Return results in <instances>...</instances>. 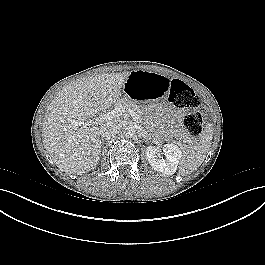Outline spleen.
Masks as SVG:
<instances>
[{
	"label": "spleen",
	"mask_w": 265,
	"mask_h": 265,
	"mask_svg": "<svg viewBox=\"0 0 265 265\" xmlns=\"http://www.w3.org/2000/svg\"><path fill=\"white\" fill-rule=\"evenodd\" d=\"M212 134V129L206 128L200 142L183 155L179 164L180 175L196 170L203 163L211 146Z\"/></svg>",
	"instance_id": "obj_1"
}]
</instances>
